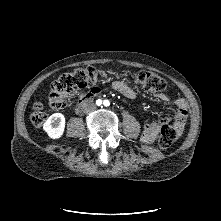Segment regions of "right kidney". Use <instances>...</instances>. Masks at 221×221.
<instances>
[{
    "instance_id": "obj_1",
    "label": "right kidney",
    "mask_w": 221,
    "mask_h": 221,
    "mask_svg": "<svg viewBox=\"0 0 221 221\" xmlns=\"http://www.w3.org/2000/svg\"><path fill=\"white\" fill-rule=\"evenodd\" d=\"M65 117L61 113L52 114L44 123L43 129L52 139L60 138L64 133Z\"/></svg>"
}]
</instances>
